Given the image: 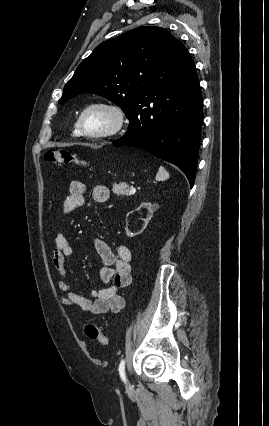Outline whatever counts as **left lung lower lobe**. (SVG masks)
I'll use <instances>...</instances> for the list:
<instances>
[{
  "label": "left lung lower lobe",
  "instance_id": "left-lung-lower-lobe-1",
  "mask_svg": "<svg viewBox=\"0 0 269 426\" xmlns=\"http://www.w3.org/2000/svg\"><path fill=\"white\" fill-rule=\"evenodd\" d=\"M126 116L128 130L113 144L141 148L178 166L193 187L203 121L202 94L195 64L179 40Z\"/></svg>",
  "mask_w": 269,
  "mask_h": 426
}]
</instances>
